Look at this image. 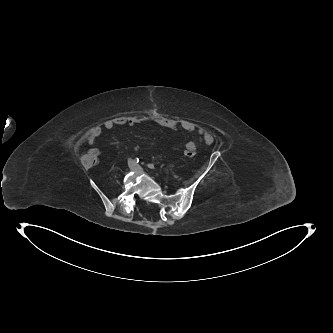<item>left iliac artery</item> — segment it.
Instances as JSON below:
<instances>
[{
  "instance_id": "obj_1",
  "label": "left iliac artery",
  "mask_w": 333,
  "mask_h": 333,
  "mask_svg": "<svg viewBox=\"0 0 333 333\" xmlns=\"http://www.w3.org/2000/svg\"><path fill=\"white\" fill-rule=\"evenodd\" d=\"M148 167H149L150 169H155V167H154L153 164H148Z\"/></svg>"
}]
</instances>
